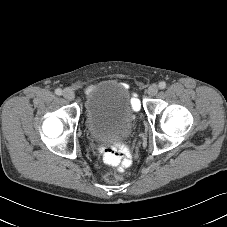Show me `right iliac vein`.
Instances as JSON below:
<instances>
[{"mask_svg":"<svg viewBox=\"0 0 227 227\" xmlns=\"http://www.w3.org/2000/svg\"><path fill=\"white\" fill-rule=\"evenodd\" d=\"M63 96L65 99L72 101L75 98V94L73 92V90H71L70 88H66L63 91Z\"/></svg>","mask_w":227,"mask_h":227,"instance_id":"63e3f726","label":"right iliac vein"}]
</instances>
